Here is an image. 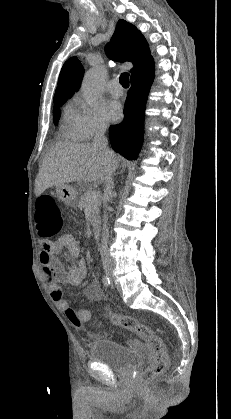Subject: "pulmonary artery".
Here are the masks:
<instances>
[{"instance_id":"pulmonary-artery-1","label":"pulmonary artery","mask_w":231,"mask_h":419,"mask_svg":"<svg viewBox=\"0 0 231 419\" xmlns=\"http://www.w3.org/2000/svg\"><path fill=\"white\" fill-rule=\"evenodd\" d=\"M108 90L114 97H119L123 94V89L117 80H114L109 84Z\"/></svg>"}]
</instances>
